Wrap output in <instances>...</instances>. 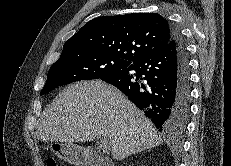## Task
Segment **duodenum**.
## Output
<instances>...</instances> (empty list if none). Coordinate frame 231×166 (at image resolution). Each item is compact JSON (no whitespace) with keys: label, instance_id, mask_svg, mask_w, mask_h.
I'll return each mask as SVG.
<instances>
[{"label":"duodenum","instance_id":"duodenum-1","mask_svg":"<svg viewBox=\"0 0 231 166\" xmlns=\"http://www.w3.org/2000/svg\"><path fill=\"white\" fill-rule=\"evenodd\" d=\"M84 161L87 166H113L107 158L92 150L85 153Z\"/></svg>","mask_w":231,"mask_h":166}]
</instances>
